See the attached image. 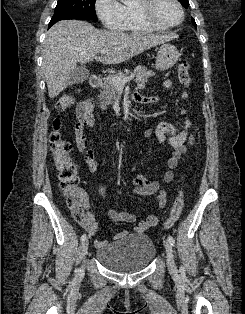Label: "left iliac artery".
<instances>
[{
	"mask_svg": "<svg viewBox=\"0 0 245 314\" xmlns=\"http://www.w3.org/2000/svg\"><path fill=\"white\" fill-rule=\"evenodd\" d=\"M168 241L171 243L172 246L175 244V240L171 235L168 236Z\"/></svg>",
	"mask_w": 245,
	"mask_h": 314,
	"instance_id": "obj_1",
	"label": "left iliac artery"
}]
</instances>
